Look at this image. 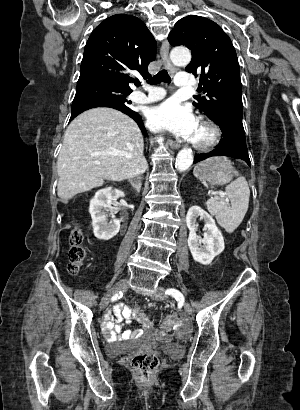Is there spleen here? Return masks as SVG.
Segmentation results:
<instances>
[{
	"instance_id": "obj_1",
	"label": "spleen",
	"mask_w": 300,
	"mask_h": 410,
	"mask_svg": "<svg viewBox=\"0 0 300 410\" xmlns=\"http://www.w3.org/2000/svg\"><path fill=\"white\" fill-rule=\"evenodd\" d=\"M238 176V172L234 171ZM226 194L231 201V207L220 197H211L206 205L208 211L215 215L217 222L226 232L232 233L242 222L249 204L250 190L243 176L226 186Z\"/></svg>"
}]
</instances>
